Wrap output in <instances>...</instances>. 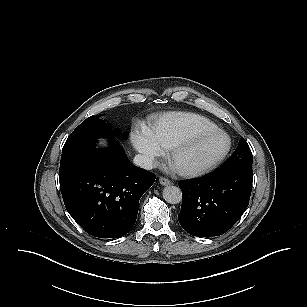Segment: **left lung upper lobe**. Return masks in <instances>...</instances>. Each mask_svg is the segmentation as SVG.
<instances>
[{
	"mask_svg": "<svg viewBox=\"0 0 307 307\" xmlns=\"http://www.w3.org/2000/svg\"><path fill=\"white\" fill-rule=\"evenodd\" d=\"M252 152L247 142L241 138L239 145L230 156V158L219 168V170L227 169H251L252 170Z\"/></svg>",
	"mask_w": 307,
	"mask_h": 307,
	"instance_id": "1",
	"label": "left lung upper lobe"
}]
</instances>
